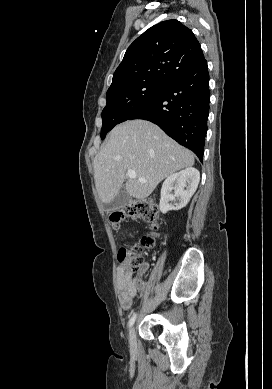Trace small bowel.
<instances>
[{
	"instance_id": "1",
	"label": "small bowel",
	"mask_w": 272,
	"mask_h": 389,
	"mask_svg": "<svg viewBox=\"0 0 272 389\" xmlns=\"http://www.w3.org/2000/svg\"><path fill=\"white\" fill-rule=\"evenodd\" d=\"M148 268V264H143L138 271L142 275ZM145 289V283L132 273L125 271L124 265L118 269V294L121 306L124 310H129L137 295Z\"/></svg>"
}]
</instances>
